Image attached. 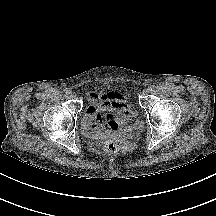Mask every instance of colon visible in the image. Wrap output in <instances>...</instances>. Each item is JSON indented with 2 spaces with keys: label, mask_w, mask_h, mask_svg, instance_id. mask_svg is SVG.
Listing matches in <instances>:
<instances>
[{
  "label": "colon",
  "mask_w": 216,
  "mask_h": 216,
  "mask_svg": "<svg viewBox=\"0 0 216 216\" xmlns=\"http://www.w3.org/2000/svg\"><path fill=\"white\" fill-rule=\"evenodd\" d=\"M129 147L130 143L128 141L117 137L108 138L104 143L105 150L111 153L125 151Z\"/></svg>",
  "instance_id": "5ec220e1"
}]
</instances>
